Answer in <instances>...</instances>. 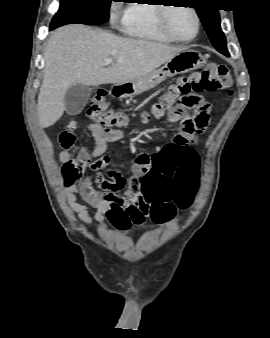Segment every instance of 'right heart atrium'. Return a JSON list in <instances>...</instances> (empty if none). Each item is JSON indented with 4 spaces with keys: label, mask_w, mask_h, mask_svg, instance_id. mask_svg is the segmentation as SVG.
<instances>
[{
    "label": "right heart atrium",
    "mask_w": 270,
    "mask_h": 338,
    "mask_svg": "<svg viewBox=\"0 0 270 338\" xmlns=\"http://www.w3.org/2000/svg\"><path fill=\"white\" fill-rule=\"evenodd\" d=\"M126 20V13L123 16L119 15V7L114 6L111 10V21L114 25H117L118 23L123 24Z\"/></svg>",
    "instance_id": "right-heart-atrium-1"
}]
</instances>
